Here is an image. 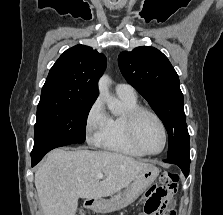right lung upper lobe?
Listing matches in <instances>:
<instances>
[{
	"instance_id": "cb5924a9",
	"label": "right lung upper lobe",
	"mask_w": 223,
	"mask_h": 215,
	"mask_svg": "<svg viewBox=\"0 0 223 215\" xmlns=\"http://www.w3.org/2000/svg\"><path fill=\"white\" fill-rule=\"evenodd\" d=\"M105 68L104 54L85 45L73 46L50 69L41 98L94 103L97 83Z\"/></svg>"
}]
</instances>
